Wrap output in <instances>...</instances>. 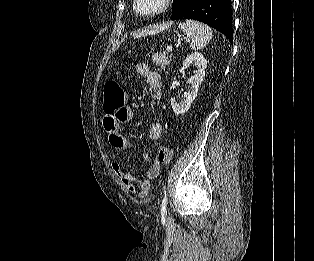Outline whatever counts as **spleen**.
<instances>
[{"label": "spleen", "mask_w": 314, "mask_h": 261, "mask_svg": "<svg viewBox=\"0 0 314 261\" xmlns=\"http://www.w3.org/2000/svg\"><path fill=\"white\" fill-rule=\"evenodd\" d=\"M178 27L191 40L190 47L195 51L204 48L213 37L212 29L198 21L187 20L184 23H179Z\"/></svg>", "instance_id": "obj_1"}]
</instances>
